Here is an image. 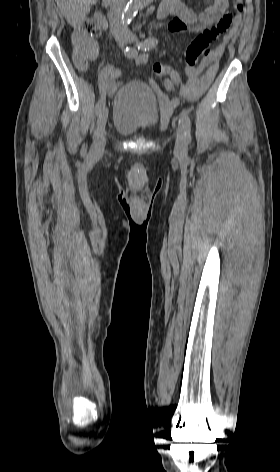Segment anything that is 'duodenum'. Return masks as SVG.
<instances>
[{"mask_svg": "<svg viewBox=\"0 0 280 472\" xmlns=\"http://www.w3.org/2000/svg\"><path fill=\"white\" fill-rule=\"evenodd\" d=\"M112 3H113V0H103V5H104L105 7L111 6ZM167 15H168L167 9L160 5V7H159V9H158L157 17H158L159 19H163V18H165Z\"/></svg>", "mask_w": 280, "mask_h": 472, "instance_id": "1", "label": "duodenum"}]
</instances>
